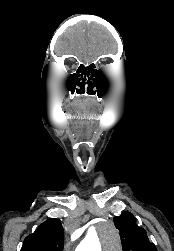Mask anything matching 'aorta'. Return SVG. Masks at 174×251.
<instances>
[{
	"instance_id": "aorta-1",
	"label": "aorta",
	"mask_w": 174,
	"mask_h": 251,
	"mask_svg": "<svg viewBox=\"0 0 174 251\" xmlns=\"http://www.w3.org/2000/svg\"><path fill=\"white\" fill-rule=\"evenodd\" d=\"M105 244L107 251L118 250L120 238L118 232L112 225H108L103 229ZM101 245L97 240L85 238L75 249V251H101Z\"/></svg>"
}]
</instances>
